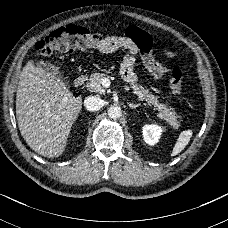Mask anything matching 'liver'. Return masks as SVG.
<instances>
[{"label":"liver","mask_w":228,"mask_h":228,"mask_svg":"<svg viewBox=\"0 0 228 228\" xmlns=\"http://www.w3.org/2000/svg\"><path fill=\"white\" fill-rule=\"evenodd\" d=\"M82 103V96L74 97L66 84L29 60L16 97L18 127L27 145L46 158L63 155Z\"/></svg>","instance_id":"liver-1"}]
</instances>
